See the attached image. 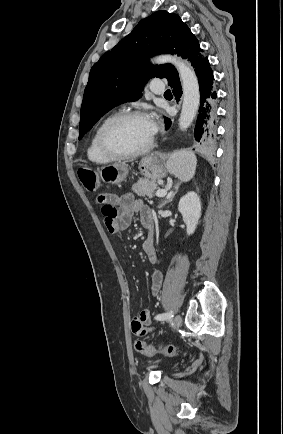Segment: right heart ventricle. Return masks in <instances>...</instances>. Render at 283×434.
Masks as SVG:
<instances>
[{
	"label": "right heart ventricle",
	"mask_w": 283,
	"mask_h": 434,
	"mask_svg": "<svg viewBox=\"0 0 283 434\" xmlns=\"http://www.w3.org/2000/svg\"><path fill=\"white\" fill-rule=\"evenodd\" d=\"M112 116H109L107 118H105L103 121H101V123L96 127V129L94 130L91 139L89 141V145L87 148V156L88 159L96 164H106L109 163L111 161H113V159L105 156L98 148L97 145V134L99 129L101 128V126Z\"/></svg>",
	"instance_id": "1"
}]
</instances>
